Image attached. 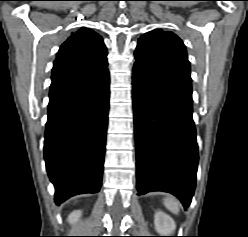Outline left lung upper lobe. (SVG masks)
Listing matches in <instances>:
<instances>
[{"label": "left lung upper lobe", "mask_w": 248, "mask_h": 237, "mask_svg": "<svg viewBox=\"0 0 248 237\" xmlns=\"http://www.w3.org/2000/svg\"><path fill=\"white\" fill-rule=\"evenodd\" d=\"M136 62L175 82L191 85L190 63L180 38L161 29L142 35L135 51Z\"/></svg>", "instance_id": "left-lung-upper-lobe-1"}]
</instances>
